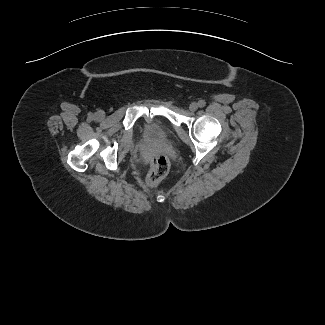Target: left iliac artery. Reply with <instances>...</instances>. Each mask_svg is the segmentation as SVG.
I'll return each instance as SVG.
<instances>
[{"mask_svg": "<svg viewBox=\"0 0 325 325\" xmlns=\"http://www.w3.org/2000/svg\"><path fill=\"white\" fill-rule=\"evenodd\" d=\"M206 105V102L204 101V100H200L199 102H198V106L199 107H204Z\"/></svg>", "mask_w": 325, "mask_h": 325, "instance_id": "44dca946", "label": "left iliac artery"}]
</instances>
